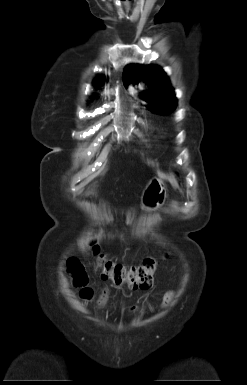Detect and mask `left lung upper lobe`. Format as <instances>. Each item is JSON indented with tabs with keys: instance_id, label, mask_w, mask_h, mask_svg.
Segmentation results:
<instances>
[{
	"instance_id": "1",
	"label": "left lung upper lobe",
	"mask_w": 247,
	"mask_h": 385,
	"mask_svg": "<svg viewBox=\"0 0 247 385\" xmlns=\"http://www.w3.org/2000/svg\"><path fill=\"white\" fill-rule=\"evenodd\" d=\"M140 79L149 86V89L141 95L150 104L149 110L160 115H168L175 110L177 99L164 71L153 65H129L125 68L123 73L125 86L131 80L138 83Z\"/></svg>"
}]
</instances>
